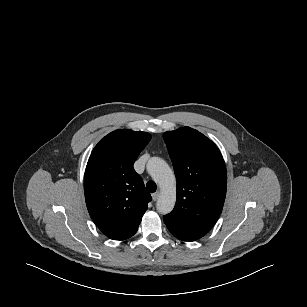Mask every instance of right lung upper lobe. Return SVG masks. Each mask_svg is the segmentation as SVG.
<instances>
[{
  "mask_svg": "<svg viewBox=\"0 0 307 307\" xmlns=\"http://www.w3.org/2000/svg\"><path fill=\"white\" fill-rule=\"evenodd\" d=\"M150 139L147 132L117 130L101 139L89 158L84 175L86 205L94 223L110 239L133 236L151 201L133 169Z\"/></svg>",
  "mask_w": 307,
  "mask_h": 307,
  "instance_id": "cb5924a9",
  "label": "right lung upper lobe"
}]
</instances>
